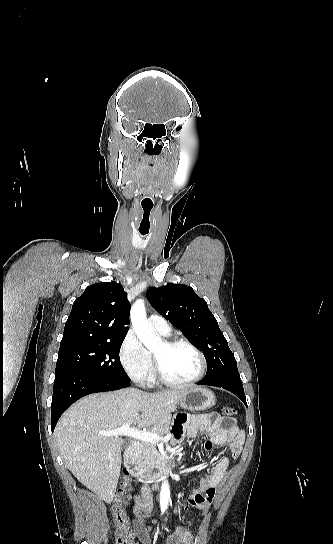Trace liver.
I'll use <instances>...</instances> for the list:
<instances>
[{
    "label": "liver",
    "instance_id": "obj_1",
    "mask_svg": "<svg viewBox=\"0 0 333 544\" xmlns=\"http://www.w3.org/2000/svg\"><path fill=\"white\" fill-rule=\"evenodd\" d=\"M185 392L147 393L126 388L82 398L64 412L54 433L66 467L88 489L111 503L121 470L123 440L101 432L125 423L139 428L155 425L170 416Z\"/></svg>",
    "mask_w": 333,
    "mask_h": 544
}]
</instances>
